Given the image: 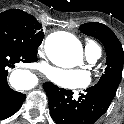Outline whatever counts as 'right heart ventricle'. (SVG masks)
Listing matches in <instances>:
<instances>
[{"label": "right heart ventricle", "mask_w": 124, "mask_h": 124, "mask_svg": "<svg viewBox=\"0 0 124 124\" xmlns=\"http://www.w3.org/2000/svg\"><path fill=\"white\" fill-rule=\"evenodd\" d=\"M85 51H86V54L95 53L97 51H100V48L94 41L87 40L85 43Z\"/></svg>", "instance_id": "right-heart-ventricle-1"}]
</instances>
